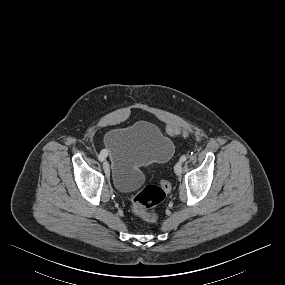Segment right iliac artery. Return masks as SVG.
Listing matches in <instances>:
<instances>
[{"label":"right iliac artery","mask_w":285,"mask_h":285,"mask_svg":"<svg viewBox=\"0 0 285 285\" xmlns=\"http://www.w3.org/2000/svg\"><path fill=\"white\" fill-rule=\"evenodd\" d=\"M105 157H106V152L101 151L99 156H98V159L102 162V161H104Z\"/></svg>","instance_id":"obj_1"}]
</instances>
